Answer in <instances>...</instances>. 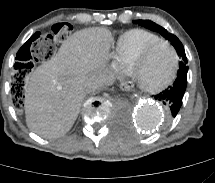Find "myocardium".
<instances>
[{"mask_svg":"<svg viewBox=\"0 0 215 183\" xmlns=\"http://www.w3.org/2000/svg\"><path fill=\"white\" fill-rule=\"evenodd\" d=\"M167 45L171 51L174 54V68H173V72L171 74V76L168 78V80L166 82H164L163 84L156 86V87H145L142 86L136 76V66L139 65L141 62H143L148 55L151 53V51L156 48L159 45ZM179 62H180V58H179V54L176 50V48L167 40L164 39H160L158 41H155L151 44H149L148 46H146L130 63L129 66V71H130V75L132 77V79L134 80L135 84L143 91L150 93V94H157L162 92L163 90H165L166 88H168L176 79L177 75H178V71H179Z\"/></svg>","mask_w":215,"mask_h":183,"instance_id":"1","label":"myocardium"}]
</instances>
